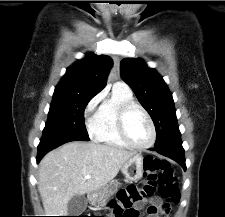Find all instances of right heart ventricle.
I'll use <instances>...</instances> for the list:
<instances>
[{
  "mask_svg": "<svg viewBox=\"0 0 225 217\" xmlns=\"http://www.w3.org/2000/svg\"><path fill=\"white\" fill-rule=\"evenodd\" d=\"M128 101H133L132 91L114 86L111 97L106 99L99 108L98 131L96 135V139L99 142L112 148H128L120 138L117 127L118 109L123 103Z\"/></svg>",
  "mask_w": 225,
  "mask_h": 217,
  "instance_id": "e07e8e85",
  "label": "right heart ventricle"
}]
</instances>
